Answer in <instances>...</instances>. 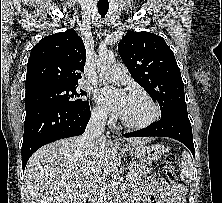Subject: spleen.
Wrapping results in <instances>:
<instances>
[{
  "mask_svg": "<svg viewBox=\"0 0 222 203\" xmlns=\"http://www.w3.org/2000/svg\"><path fill=\"white\" fill-rule=\"evenodd\" d=\"M182 170L180 177L183 181L190 183L193 180L194 175V166L192 163V159L187 151L182 152Z\"/></svg>",
  "mask_w": 222,
  "mask_h": 203,
  "instance_id": "obj_1",
  "label": "spleen"
}]
</instances>
